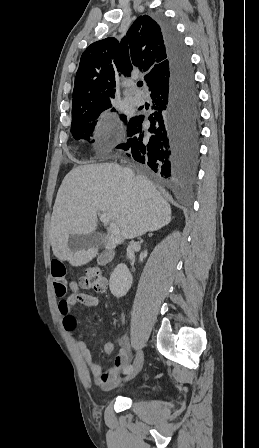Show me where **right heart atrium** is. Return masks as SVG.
Instances as JSON below:
<instances>
[{"label":"right heart atrium","instance_id":"d8ad5b80","mask_svg":"<svg viewBox=\"0 0 259 448\" xmlns=\"http://www.w3.org/2000/svg\"><path fill=\"white\" fill-rule=\"evenodd\" d=\"M90 139L93 147L107 151L113 148L116 141L112 125L103 119L93 125Z\"/></svg>","mask_w":259,"mask_h":448}]
</instances>
